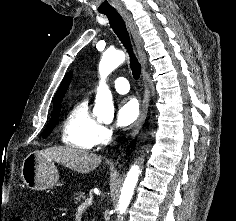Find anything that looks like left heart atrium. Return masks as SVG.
<instances>
[{
  "mask_svg": "<svg viewBox=\"0 0 236 221\" xmlns=\"http://www.w3.org/2000/svg\"><path fill=\"white\" fill-rule=\"evenodd\" d=\"M139 115V105L136 99L126 97L119 101L116 125L121 128L129 127Z\"/></svg>",
  "mask_w": 236,
  "mask_h": 221,
  "instance_id": "1",
  "label": "left heart atrium"
}]
</instances>
